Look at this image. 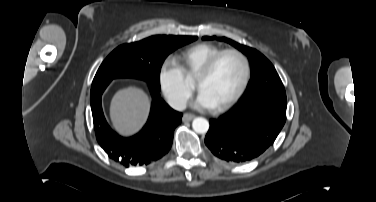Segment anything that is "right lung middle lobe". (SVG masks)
I'll list each match as a JSON object with an SVG mask.
<instances>
[{
    "instance_id": "1",
    "label": "right lung middle lobe",
    "mask_w": 376,
    "mask_h": 202,
    "mask_svg": "<svg viewBox=\"0 0 376 202\" xmlns=\"http://www.w3.org/2000/svg\"><path fill=\"white\" fill-rule=\"evenodd\" d=\"M196 36L155 35L117 47L99 67L92 85L114 78H138L160 89V70L165 58Z\"/></svg>"
}]
</instances>
